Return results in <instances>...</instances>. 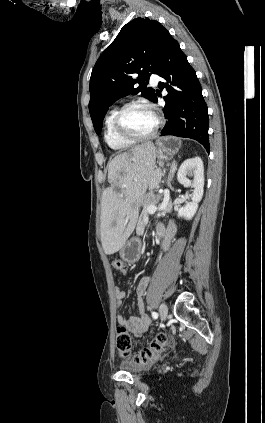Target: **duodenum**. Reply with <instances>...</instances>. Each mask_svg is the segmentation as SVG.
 I'll return each mask as SVG.
<instances>
[{"mask_svg": "<svg viewBox=\"0 0 265 423\" xmlns=\"http://www.w3.org/2000/svg\"><path fill=\"white\" fill-rule=\"evenodd\" d=\"M157 235H158V237H164V235H165V232H164V230H157Z\"/></svg>", "mask_w": 265, "mask_h": 423, "instance_id": "duodenum-1", "label": "duodenum"}]
</instances>
